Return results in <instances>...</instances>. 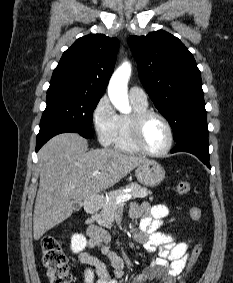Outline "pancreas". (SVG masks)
I'll return each instance as SVG.
<instances>
[{
	"label": "pancreas",
	"mask_w": 233,
	"mask_h": 283,
	"mask_svg": "<svg viewBox=\"0 0 233 283\" xmlns=\"http://www.w3.org/2000/svg\"><path fill=\"white\" fill-rule=\"evenodd\" d=\"M131 188L132 191L130 194L133 198H145L151 191L147 190V188L142 187L136 182H131L125 187L120 188L117 191L111 192L105 198L104 206L100 212V214L96 215L95 220L98 222L100 226L111 229L114 220H117L121 217L122 214V203L116 202V197L120 195L127 194L125 189Z\"/></svg>",
	"instance_id": "cf45deb5"
}]
</instances>
